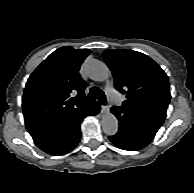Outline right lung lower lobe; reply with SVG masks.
<instances>
[{
	"instance_id": "1",
	"label": "right lung lower lobe",
	"mask_w": 194,
	"mask_h": 193,
	"mask_svg": "<svg viewBox=\"0 0 194 193\" xmlns=\"http://www.w3.org/2000/svg\"><path fill=\"white\" fill-rule=\"evenodd\" d=\"M100 105L94 101L87 107L58 121L28 129L34 143L44 152L63 155L70 152L80 141V123L86 116H94Z\"/></svg>"
}]
</instances>
